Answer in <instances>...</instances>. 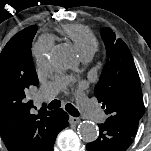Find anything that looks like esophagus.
Instances as JSON below:
<instances>
[{"instance_id": "1", "label": "esophagus", "mask_w": 151, "mask_h": 151, "mask_svg": "<svg viewBox=\"0 0 151 151\" xmlns=\"http://www.w3.org/2000/svg\"><path fill=\"white\" fill-rule=\"evenodd\" d=\"M79 122H80V119H79V118L70 116V118H69V123H70V124H77V123H79Z\"/></svg>"}]
</instances>
